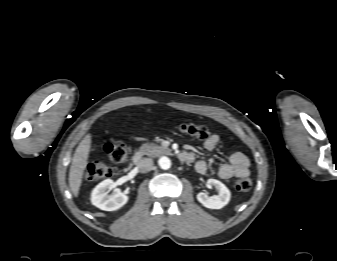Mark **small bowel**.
<instances>
[{"label":"small bowel","instance_id":"1","mask_svg":"<svg viewBox=\"0 0 337 261\" xmlns=\"http://www.w3.org/2000/svg\"><path fill=\"white\" fill-rule=\"evenodd\" d=\"M219 142V137L216 134L210 135L208 139L204 142V147L208 151H212L216 148ZM192 162L194 160V155L190 152ZM195 169L200 174H206L208 171V164L204 160H199L195 164ZM250 173V161L248 157L241 152H234L230 155L228 162L222 164L218 168V176L221 179H230L233 177L243 178L247 177Z\"/></svg>","mask_w":337,"mask_h":261}]
</instances>
